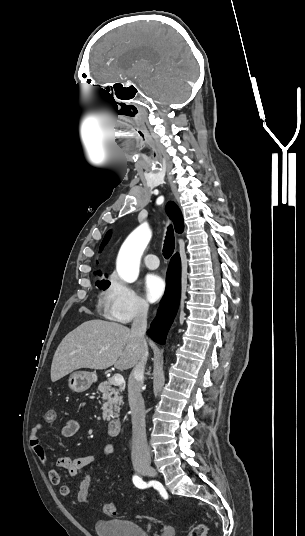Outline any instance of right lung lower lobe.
<instances>
[{
	"mask_svg": "<svg viewBox=\"0 0 305 536\" xmlns=\"http://www.w3.org/2000/svg\"><path fill=\"white\" fill-rule=\"evenodd\" d=\"M180 257L175 254L169 264L167 290L158 309L157 316L151 323L148 335L157 343L164 345L167 332L176 315L180 300Z\"/></svg>",
	"mask_w": 305,
	"mask_h": 536,
	"instance_id": "1",
	"label": "right lung lower lobe"
}]
</instances>
